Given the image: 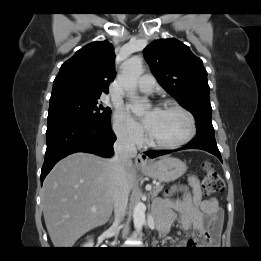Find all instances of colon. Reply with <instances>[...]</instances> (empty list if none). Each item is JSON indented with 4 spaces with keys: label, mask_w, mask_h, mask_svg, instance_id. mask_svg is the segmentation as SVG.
<instances>
[{
    "label": "colon",
    "mask_w": 261,
    "mask_h": 261,
    "mask_svg": "<svg viewBox=\"0 0 261 261\" xmlns=\"http://www.w3.org/2000/svg\"><path fill=\"white\" fill-rule=\"evenodd\" d=\"M224 190V182L217 171L210 163L204 165V176L202 180V191L205 195H213L221 193ZM210 240L208 233H201L196 236L192 244L205 246Z\"/></svg>",
    "instance_id": "1"
}]
</instances>
